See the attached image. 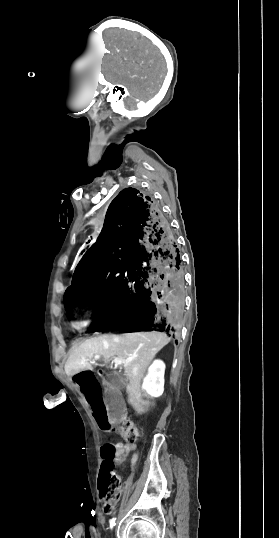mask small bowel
I'll return each instance as SVG.
<instances>
[{"label":"small bowel","instance_id":"obj_1","mask_svg":"<svg viewBox=\"0 0 279 538\" xmlns=\"http://www.w3.org/2000/svg\"><path fill=\"white\" fill-rule=\"evenodd\" d=\"M115 450H116V462L122 463L124 462L129 455L132 456V462L134 463L137 459V455L135 453V446L133 444H123V443H112L111 444Z\"/></svg>","mask_w":279,"mask_h":538}]
</instances>
